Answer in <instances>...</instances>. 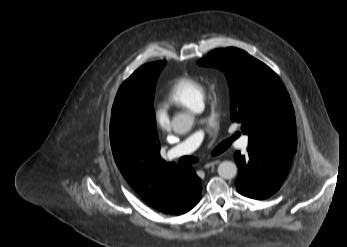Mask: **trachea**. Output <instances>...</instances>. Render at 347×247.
Returning <instances> with one entry per match:
<instances>
[{"instance_id": "obj_1", "label": "trachea", "mask_w": 347, "mask_h": 247, "mask_svg": "<svg viewBox=\"0 0 347 247\" xmlns=\"http://www.w3.org/2000/svg\"><path fill=\"white\" fill-rule=\"evenodd\" d=\"M237 138V135L233 136L231 139H228L227 141L222 142L221 144H219L213 151H212V155H217L222 153L223 151H225L231 144V141L233 139ZM198 160L194 157H182L179 159V163L181 164H193L195 162H197Z\"/></svg>"}]
</instances>
